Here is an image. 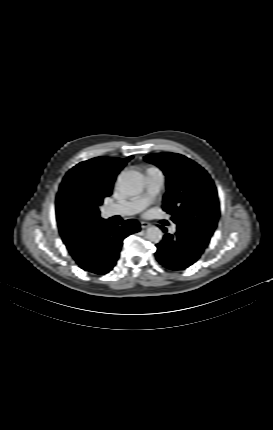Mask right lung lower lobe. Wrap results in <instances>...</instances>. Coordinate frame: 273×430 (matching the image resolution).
I'll use <instances>...</instances> for the list:
<instances>
[{
    "label": "right lung lower lobe",
    "mask_w": 273,
    "mask_h": 430,
    "mask_svg": "<svg viewBox=\"0 0 273 430\" xmlns=\"http://www.w3.org/2000/svg\"><path fill=\"white\" fill-rule=\"evenodd\" d=\"M139 230L140 225L135 220H127L119 227L98 218L89 226V234L83 239L84 245L71 255L83 270L106 274L119 258L123 239Z\"/></svg>",
    "instance_id": "98d812e1"
}]
</instances>
